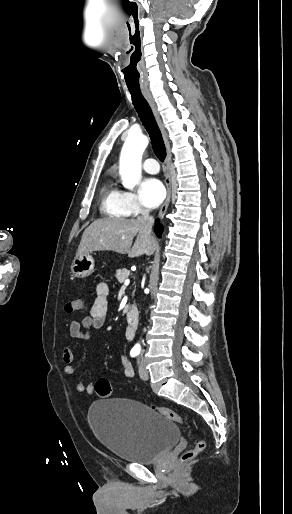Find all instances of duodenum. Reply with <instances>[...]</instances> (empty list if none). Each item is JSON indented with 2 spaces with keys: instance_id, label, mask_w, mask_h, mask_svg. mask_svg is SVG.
<instances>
[{
  "instance_id": "obj_1",
  "label": "duodenum",
  "mask_w": 292,
  "mask_h": 514,
  "mask_svg": "<svg viewBox=\"0 0 292 514\" xmlns=\"http://www.w3.org/2000/svg\"><path fill=\"white\" fill-rule=\"evenodd\" d=\"M139 312L135 305H129L127 308V331L133 332L138 322Z\"/></svg>"
}]
</instances>
